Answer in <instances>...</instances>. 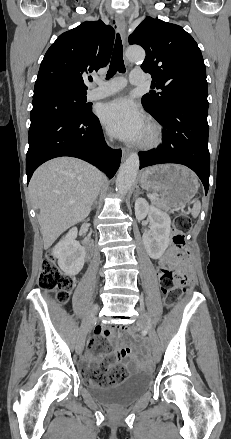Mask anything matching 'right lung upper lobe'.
<instances>
[{
    "label": "right lung upper lobe",
    "instance_id": "right-lung-upper-lobe-1",
    "mask_svg": "<svg viewBox=\"0 0 231 439\" xmlns=\"http://www.w3.org/2000/svg\"><path fill=\"white\" fill-rule=\"evenodd\" d=\"M113 41L114 29L101 20L83 22L61 34L41 62L33 98L87 94L86 74L108 64Z\"/></svg>",
    "mask_w": 231,
    "mask_h": 439
}]
</instances>
